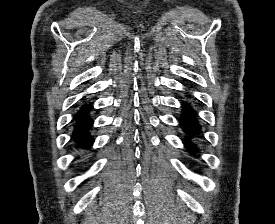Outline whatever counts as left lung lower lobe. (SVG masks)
<instances>
[{
    "label": "left lung lower lobe",
    "instance_id": "1",
    "mask_svg": "<svg viewBox=\"0 0 275 224\" xmlns=\"http://www.w3.org/2000/svg\"><path fill=\"white\" fill-rule=\"evenodd\" d=\"M182 109L183 113L179 119V123L184 132L188 135V137L184 139V144L187 148H189L191 153H194L197 152L198 149L195 144L190 142V140L193 137L200 136L201 127L195 118V112L193 108L187 102H183Z\"/></svg>",
    "mask_w": 275,
    "mask_h": 224
}]
</instances>
